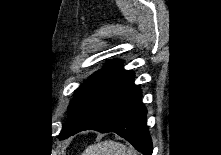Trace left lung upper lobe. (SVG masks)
I'll use <instances>...</instances> for the list:
<instances>
[{"mask_svg":"<svg viewBox=\"0 0 221 155\" xmlns=\"http://www.w3.org/2000/svg\"><path fill=\"white\" fill-rule=\"evenodd\" d=\"M121 66L120 62L113 61L103 69L95 72L82 86L76 90L75 98L70 103V115L66 125V128L76 119L87 99L96 89V87L112 72Z\"/></svg>","mask_w":221,"mask_h":155,"instance_id":"1","label":"left lung upper lobe"}]
</instances>
